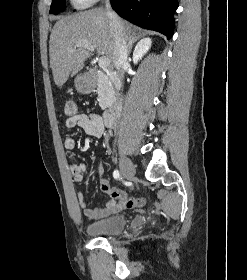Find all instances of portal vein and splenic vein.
Instances as JSON below:
<instances>
[{
  "mask_svg": "<svg viewBox=\"0 0 247 280\" xmlns=\"http://www.w3.org/2000/svg\"><path fill=\"white\" fill-rule=\"evenodd\" d=\"M82 46L83 48L94 52L95 47L89 43L78 44L77 47ZM98 65L100 68H107L110 65L109 59L107 57H100L98 59Z\"/></svg>",
  "mask_w": 247,
  "mask_h": 280,
  "instance_id": "18ae733b",
  "label": "portal vein and splenic vein"
}]
</instances>
